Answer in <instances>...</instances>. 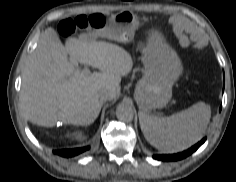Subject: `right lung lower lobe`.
I'll return each instance as SVG.
<instances>
[{
  "label": "right lung lower lobe",
  "mask_w": 236,
  "mask_h": 182,
  "mask_svg": "<svg viewBox=\"0 0 236 182\" xmlns=\"http://www.w3.org/2000/svg\"><path fill=\"white\" fill-rule=\"evenodd\" d=\"M87 149H89V147L75 148V149H63V150L54 151V154H57L62 157H73L75 155H78V154L84 152Z\"/></svg>",
  "instance_id": "right-lung-lower-lobe-1"
}]
</instances>
